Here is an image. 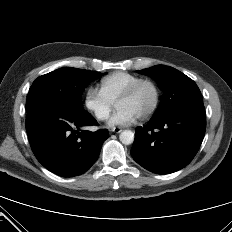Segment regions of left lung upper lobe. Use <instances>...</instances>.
<instances>
[{
    "mask_svg": "<svg viewBox=\"0 0 232 232\" xmlns=\"http://www.w3.org/2000/svg\"><path fill=\"white\" fill-rule=\"evenodd\" d=\"M137 72L151 76L164 92L153 117H159L180 103L201 96L196 83L173 67L156 65Z\"/></svg>",
    "mask_w": 232,
    "mask_h": 232,
    "instance_id": "1",
    "label": "left lung upper lobe"
}]
</instances>
